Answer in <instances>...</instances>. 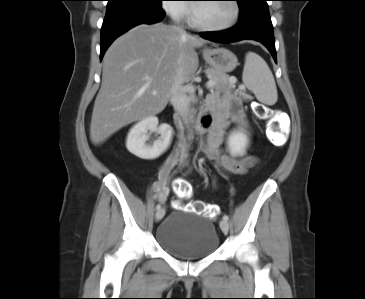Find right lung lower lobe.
<instances>
[{
    "label": "right lung lower lobe",
    "mask_w": 365,
    "mask_h": 299,
    "mask_svg": "<svg viewBox=\"0 0 365 299\" xmlns=\"http://www.w3.org/2000/svg\"><path fill=\"white\" fill-rule=\"evenodd\" d=\"M164 16L161 5H126L107 10L101 28L100 60L117 37L136 25L159 22Z\"/></svg>",
    "instance_id": "obj_1"
}]
</instances>
